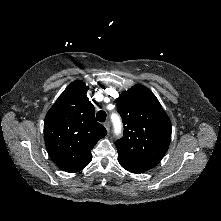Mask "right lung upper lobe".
<instances>
[{
    "mask_svg": "<svg viewBox=\"0 0 221 221\" xmlns=\"http://www.w3.org/2000/svg\"><path fill=\"white\" fill-rule=\"evenodd\" d=\"M82 81L72 82L48 111L44 120L47 152L66 172L81 171L92 160L91 150L107 131L95 119Z\"/></svg>",
    "mask_w": 221,
    "mask_h": 221,
    "instance_id": "1",
    "label": "right lung upper lobe"
}]
</instances>
